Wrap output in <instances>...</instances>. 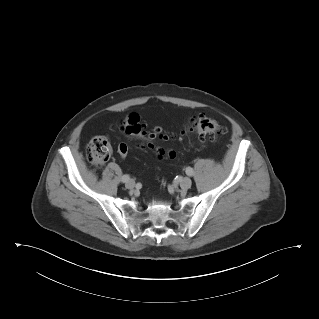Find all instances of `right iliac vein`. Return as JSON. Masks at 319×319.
Listing matches in <instances>:
<instances>
[{
    "label": "right iliac vein",
    "instance_id": "right-iliac-vein-1",
    "mask_svg": "<svg viewBox=\"0 0 319 319\" xmlns=\"http://www.w3.org/2000/svg\"><path fill=\"white\" fill-rule=\"evenodd\" d=\"M126 188L133 189L135 187V182L133 180H128L125 184Z\"/></svg>",
    "mask_w": 319,
    "mask_h": 319
}]
</instances>
